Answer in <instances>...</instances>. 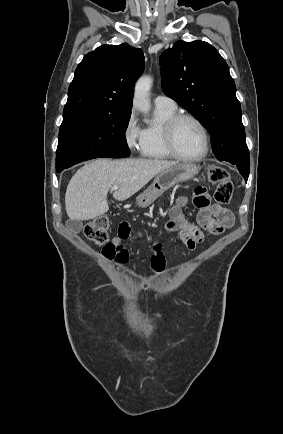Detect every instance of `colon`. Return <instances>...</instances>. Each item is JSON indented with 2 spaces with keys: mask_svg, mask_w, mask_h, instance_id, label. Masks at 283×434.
<instances>
[{
  "mask_svg": "<svg viewBox=\"0 0 283 434\" xmlns=\"http://www.w3.org/2000/svg\"><path fill=\"white\" fill-rule=\"evenodd\" d=\"M208 177L210 182L216 186L214 192L215 202L218 205L230 203L234 187L229 172L222 166H212L208 170ZM109 224L107 216L96 217L87 224L86 237L99 245L106 246L108 244Z\"/></svg>",
  "mask_w": 283,
  "mask_h": 434,
  "instance_id": "1",
  "label": "colon"
}]
</instances>
